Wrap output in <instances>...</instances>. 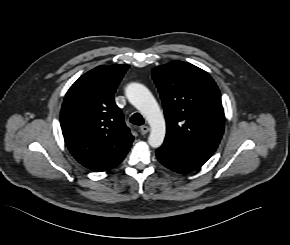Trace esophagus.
Here are the masks:
<instances>
[{"mask_svg": "<svg viewBox=\"0 0 290 245\" xmlns=\"http://www.w3.org/2000/svg\"><path fill=\"white\" fill-rule=\"evenodd\" d=\"M149 130H150V128H149V126H147V125H143V126L140 127V133H141L142 135L147 134V133L149 132Z\"/></svg>", "mask_w": 290, "mask_h": 245, "instance_id": "1", "label": "esophagus"}]
</instances>
